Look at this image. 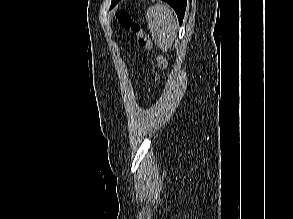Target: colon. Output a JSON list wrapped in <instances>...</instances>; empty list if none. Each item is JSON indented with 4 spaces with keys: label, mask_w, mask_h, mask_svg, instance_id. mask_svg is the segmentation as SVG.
I'll list each match as a JSON object with an SVG mask.
<instances>
[{
    "label": "colon",
    "mask_w": 293,
    "mask_h": 219,
    "mask_svg": "<svg viewBox=\"0 0 293 219\" xmlns=\"http://www.w3.org/2000/svg\"><path fill=\"white\" fill-rule=\"evenodd\" d=\"M119 25L124 29H129L137 38L138 44L147 51L156 53L151 37L142 29V27L133 21L132 17L125 10H120L116 15ZM156 62L162 71H166L167 60L162 55H156Z\"/></svg>",
    "instance_id": "5ec220e1"
}]
</instances>
